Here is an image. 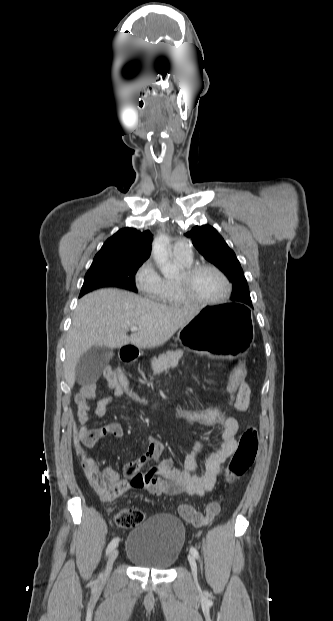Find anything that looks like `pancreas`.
<instances>
[{
  "label": "pancreas",
  "mask_w": 333,
  "mask_h": 621,
  "mask_svg": "<svg viewBox=\"0 0 333 621\" xmlns=\"http://www.w3.org/2000/svg\"><path fill=\"white\" fill-rule=\"evenodd\" d=\"M183 354V350H168L165 354H160L158 358L154 357L151 360L153 374L158 375L170 368H175Z\"/></svg>",
  "instance_id": "cf45deb5"
}]
</instances>
